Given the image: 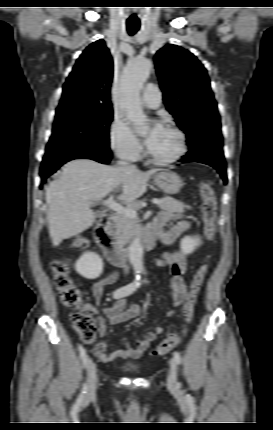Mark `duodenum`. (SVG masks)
I'll return each instance as SVG.
<instances>
[{
	"label": "duodenum",
	"instance_id": "1",
	"mask_svg": "<svg viewBox=\"0 0 273 430\" xmlns=\"http://www.w3.org/2000/svg\"><path fill=\"white\" fill-rule=\"evenodd\" d=\"M110 219L109 215H105L99 220L94 231L95 239L113 265L124 267L130 261L129 253L127 248L116 242L112 237L109 228ZM155 241L154 234L146 235L143 240L144 249H151Z\"/></svg>",
	"mask_w": 273,
	"mask_h": 430
}]
</instances>
